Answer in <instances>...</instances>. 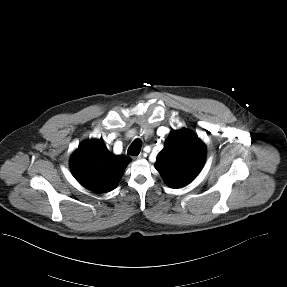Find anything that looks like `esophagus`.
Returning a JSON list of instances; mask_svg holds the SVG:
<instances>
[{
	"instance_id": "obj_1",
	"label": "esophagus",
	"mask_w": 287,
	"mask_h": 287,
	"mask_svg": "<svg viewBox=\"0 0 287 287\" xmlns=\"http://www.w3.org/2000/svg\"><path fill=\"white\" fill-rule=\"evenodd\" d=\"M136 159H143L144 155L143 154H139L138 156L135 157Z\"/></svg>"
}]
</instances>
